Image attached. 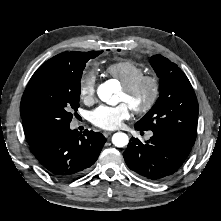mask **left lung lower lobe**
<instances>
[{
  "label": "left lung lower lobe",
  "instance_id": "obj_1",
  "mask_svg": "<svg viewBox=\"0 0 221 221\" xmlns=\"http://www.w3.org/2000/svg\"><path fill=\"white\" fill-rule=\"evenodd\" d=\"M135 128L142 130L137 126ZM191 150L192 146L168 135L153 132V136L145 144L132 138L123 157L127 166L140 176L161 181L179 170Z\"/></svg>",
  "mask_w": 221,
  "mask_h": 221
}]
</instances>
